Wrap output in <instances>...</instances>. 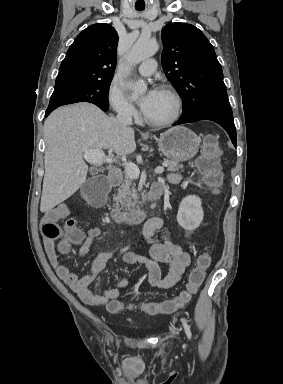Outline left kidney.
<instances>
[{
    "instance_id": "obj_1",
    "label": "left kidney",
    "mask_w": 283,
    "mask_h": 384,
    "mask_svg": "<svg viewBox=\"0 0 283 384\" xmlns=\"http://www.w3.org/2000/svg\"><path fill=\"white\" fill-rule=\"evenodd\" d=\"M203 216L204 212L198 196H186V198H183L177 214V222L181 228H184L187 232H193V230L199 228Z\"/></svg>"
}]
</instances>
